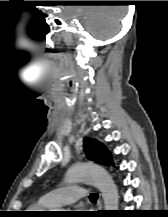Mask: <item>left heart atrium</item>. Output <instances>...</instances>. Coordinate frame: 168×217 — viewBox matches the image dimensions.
Returning a JSON list of instances; mask_svg holds the SVG:
<instances>
[{
	"label": "left heart atrium",
	"mask_w": 168,
	"mask_h": 217,
	"mask_svg": "<svg viewBox=\"0 0 168 217\" xmlns=\"http://www.w3.org/2000/svg\"><path fill=\"white\" fill-rule=\"evenodd\" d=\"M82 213L83 212H81V211L77 212V214H76L77 216H75V217H82V215H83Z\"/></svg>",
	"instance_id": "left-heart-atrium-1"
}]
</instances>
